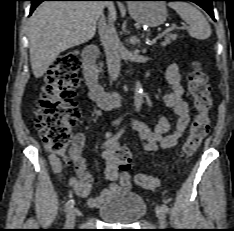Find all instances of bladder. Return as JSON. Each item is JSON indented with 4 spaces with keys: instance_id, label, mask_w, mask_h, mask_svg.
Returning <instances> with one entry per match:
<instances>
[{
    "instance_id": "31cf9c89",
    "label": "bladder",
    "mask_w": 234,
    "mask_h": 231,
    "mask_svg": "<svg viewBox=\"0 0 234 231\" xmlns=\"http://www.w3.org/2000/svg\"><path fill=\"white\" fill-rule=\"evenodd\" d=\"M147 212L145 200L134 192H121L114 195L98 210L104 222L131 224L142 219Z\"/></svg>"
}]
</instances>
